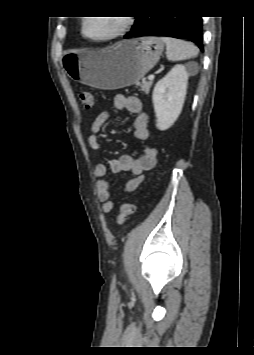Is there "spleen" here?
<instances>
[{
	"label": "spleen",
	"mask_w": 254,
	"mask_h": 355,
	"mask_svg": "<svg viewBox=\"0 0 254 355\" xmlns=\"http://www.w3.org/2000/svg\"><path fill=\"white\" fill-rule=\"evenodd\" d=\"M166 44V56L169 61H182L194 58L198 55V48L190 43L180 39L161 37Z\"/></svg>",
	"instance_id": "1"
}]
</instances>
